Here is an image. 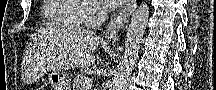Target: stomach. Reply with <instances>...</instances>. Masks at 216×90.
I'll return each mask as SVG.
<instances>
[{"label":"stomach","instance_id":"obj_1","mask_svg":"<svg viewBox=\"0 0 216 90\" xmlns=\"http://www.w3.org/2000/svg\"><path fill=\"white\" fill-rule=\"evenodd\" d=\"M48 80L53 90H71V79L65 72L54 70L49 74Z\"/></svg>","mask_w":216,"mask_h":90}]
</instances>
